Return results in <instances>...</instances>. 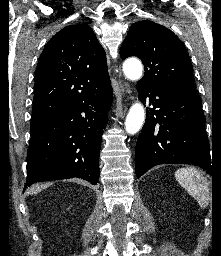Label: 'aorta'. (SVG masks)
I'll use <instances>...</instances> for the list:
<instances>
[{"label": "aorta", "instance_id": "obj_1", "mask_svg": "<svg viewBox=\"0 0 221 256\" xmlns=\"http://www.w3.org/2000/svg\"><path fill=\"white\" fill-rule=\"evenodd\" d=\"M125 76L130 80H139L142 76V63L139 60H127L123 64ZM145 119L144 107L141 103H134L127 114L125 129L129 134L137 133L143 125Z\"/></svg>", "mask_w": 221, "mask_h": 256}]
</instances>
